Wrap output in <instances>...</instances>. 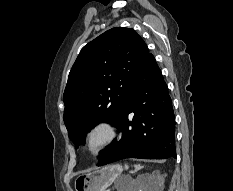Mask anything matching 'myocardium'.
<instances>
[{
	"label": "myocardium",
	"mask_w": 233,
	"mask_h": 191,
	"mask_svg": "<svg viewBox=\"0 0 233 191\" xmlns=\"http://www.w3.org/2000/svg\"><path fill=\"white\" fill-rule=\"evenodd\" d=\"M96 136H100L98 142H94ZM118 129L110 121H98L92 124L86 131L84 148L92 156L102 154L117 138Z\"/></svg>",
	"instance_id": "obj_1"
}]
</instances>
